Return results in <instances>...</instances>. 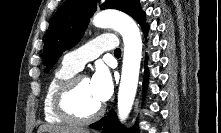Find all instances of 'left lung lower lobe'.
Segmentation results:
<instances>
[{"instance_id":"0a47b994","label":"left lung lower lobe","mask_w":221,"mask_h":133,"mask_svg":"<svg viewBox=\"0 0 221 133\" xmlns=\"http://www.w3.org/2000/svg\"><path fill=\"white\" fill-rule=\"evenodd\" d=\"M148 29H149L148 24L142 26V30L145 34L148 32ZM146 84H147V73L145 74L143 82L144 91ZM90 127L103 128V133H137L136 129H132L130 131L124 130L123 127L120 125L116 114L113 111H111L107 117H104L98 122L91 124Z\"/></svg>"}]
</instances>
